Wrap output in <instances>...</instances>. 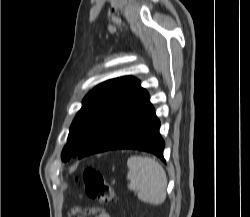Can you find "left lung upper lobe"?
I'll return each instance as SVG.
<instances>
[{
    "mask_svg": "<svg viewBox=\"0 0 250 217\" xmlns=\"http://www.w3.org/2000/svg\"><path fill=\"white\" fill-rule=\"evenodd\" d=\"M139 85L136 78L125 76L101 83L89 92L71 124L62 160L66 162L78 156Z\"/></svg>",
    "mask_w": 250,
    "mask_h": 217,
    "instance_id": "obj_1",
    "label": "left lung upper lobe"
}]
</instances>
